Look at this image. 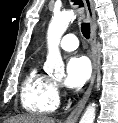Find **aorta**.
I'll return each instance as SVG.
<instances>
[{"mask_svg":"<svg viewBox=\"0 0 118 123\" xmlns=\"http://www.w3.org/2000/svg\"><path fill=\"white\" fill-rule=\"evenodd\" d=\"M75 19L74 11L67 10L55 14L49 24L47 31L48 54L44 70L56 77L64 75V63L61 57L59 44L62 35L68 28L71 21ZM96 115V104H90L81 117L80 123H94Z\"/></svg>","mask_w":118,"mask_h":123,"instance_id":"1","label":"aorta"}]
</instances>
